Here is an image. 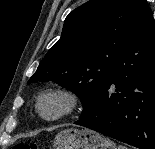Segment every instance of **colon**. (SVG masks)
<instances>
[{
	"label": "colon",
	"mask_w": 155,
	"mask_h": 149,
	"mask_svg": "<svg viewBox=\"0 0 155 149\" xmlns=\"http://www.w3.org/2000/svg\"><path fill=\"white\" fill-rule=\"evenodd\" d=\"M13 149H37V145L34 143L30 144L19 143L16 144Z\"/></svg>",
	"instance_id": "colon-1"
}]
</instances>
